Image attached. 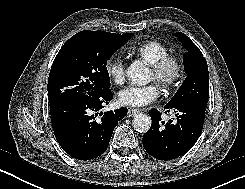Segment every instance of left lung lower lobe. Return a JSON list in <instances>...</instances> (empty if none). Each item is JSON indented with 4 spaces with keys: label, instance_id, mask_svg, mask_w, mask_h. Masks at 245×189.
<instances>
[{
    "label": "left lung lower lobe",
    "instance_id": "obj_1",
    "mask_svg": "<svg viewBox=\"0 0 245 189\" xmlns=\"http://www.w3.org/2000/svg\"><path fill=\"white\" fill-rule=\"evenodd\" d=\"M165 113L174 112L176 121H161V113L152 109L150 129L142 143L148 154L159 160H171L185 154L198 140L204 123L206 107L196 103L177 106L166 104Z\"/></svg>",
    "mask_w": 245,
    "mask_h": 189
}]
</instances>
